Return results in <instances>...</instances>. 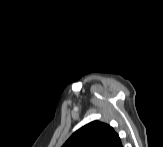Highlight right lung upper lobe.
<instances>
[{
  "label": "right lung upper lobe",
  "mask_w": 163,
  "mask_h": 147,
  "mask_svg": "<svg viewBox=\"0 0 163 147\" xmlns=\"http://www.w3.org/2000/svg\"><path fill=\"white\" fill-rule=\"evenodd\" d=\"M120 142L111 126L94 121L76 131L62 147H117Z\"/></svg>",
  "instance_id": "obj_1"
}]
</instances>
